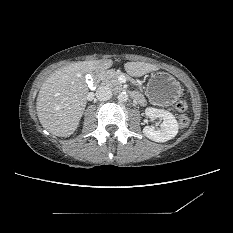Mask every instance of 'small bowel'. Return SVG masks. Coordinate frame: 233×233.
<instances>
[{
	"label": "small bowel",
	"instance_id": "obj_1",
	"mask_svg": "<svg viewBox=\"0 0 233 233\" xmlns=\"http://www.w3.org/2000/svg\"><path fill=\"white\" fill-rule=\"evenodd\" d=\"M135 97L137 98L138 101L141 102V100H142L141 97H139L138 95H135Z\"/></svg>",
	"mask_w": 233,
	"mask_h": 233
}]
</instances>
